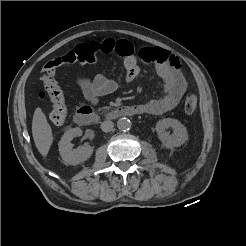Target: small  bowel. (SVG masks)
<instances>
[{
	"label": "small bowel",
	"instance_id": "obj_1",
	"mask_svg": "<svg viewBox=\"0 0 246 246\" xmlns=\"http://www.w3.org/2000/svg\"><path fill=\"white\" fill-rule=\"evenodd\" d=\"M94 51L95 54H117L124 58L125 78L127 82L134 81L140 68L133 45L124 39L107 38L102 41H92L83 44ZM138 56L145 62L152 63L157 75L164 82L163 95L157 99H149L139 106L142 113L162 115L173 110L184 95L187 84L182 73L179 58L161 48L146 47L138 51ZM85 99L96 105L100 97L115 92L119 84L104 74H97L93 79L78 77L76 79Z\"/></svg>",
	"mask_w": 246,
	"mask_h": 246
}]
</instances>
